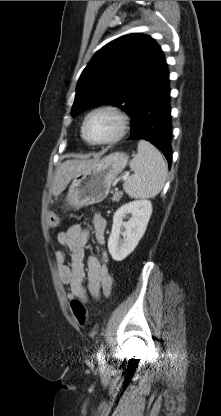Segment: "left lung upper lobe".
<instances>
[{
    "label": "left lung upper lobe",
    "instance_id": "1",
    "mask_svg": "<svg viewBox=\"0 0 221 416\" xmlns=\"http://www.w3.org/2000/svg\"><path fill=\"white\" fill-rule=\"evenodd\" d=\"M164 62L162 50L149 36L134 33L115 39L83 70L71 114L112 104L133 120L139 101L157 81Z\"/></svg>",
    "mask_w": 221,
    "mask_h": 416
}]
</instances>
